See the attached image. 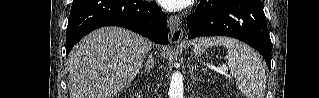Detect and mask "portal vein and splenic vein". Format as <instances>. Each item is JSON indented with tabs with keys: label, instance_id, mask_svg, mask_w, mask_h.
<instances>
[{
	"label": "portal vein and splenic vein",
	"instance_id": "portal-vein-and-splenic-vein-1",
	"mask_svg": "<svg viewBox=\"0 0 319 98\" xmlns=\"http://www.w3.org/2000/svg\"><path fill=\"white\" fill-rule=\"evenodd\" d=\"M208 68L210 69H213V70H216V71H219L221 73H223L225 70H226V67L225 66H220L219 68L215 67V66H212V65H207Z\"/></svg>",
	"mask_w": 319,
	"mask_h": 98
}]
</instances>
